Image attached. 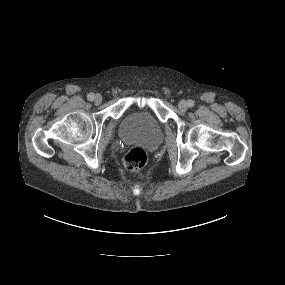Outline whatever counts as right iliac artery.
<instances>
[{"label": "right iliac artery", "mask_w": 285, "mask_h": 285, "mask_svg": "<svg viewBox=\"0 0 285 285\" xmlns=\"http://www.w3.org/2000/svg\"><path fill=\"white\" fill-rule=\"evenodd\" d=\"M87 99H88L89 101L94 100V94H93V93H89V94L87 95Z\"/></svg>", "instance_id": "obj_1"}]
</instances>
